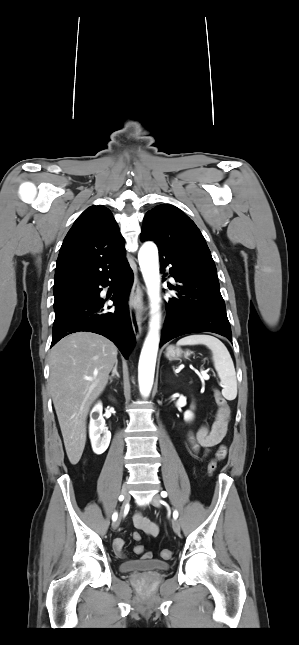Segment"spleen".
<instances>
[{
    "label": "spleen",
    "instance_id": "1",
    "mask_svg": "<svg viewBox=\"0 0 299 645\" xmlns=\"http://www.w3.org/2000/svg\"><path fill=\"white\" fill-rule=\"evenodd\" d=\"M206 345L212 351L214 367L223 385L222 395L227 400H234L237 396L236 372L232 358L225 345L217 338L210 335H189L178 340V346Z\"/></svg>",
    "mask_w": 299,
    "mask_h": 645
}]
</instances>
